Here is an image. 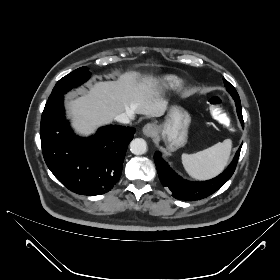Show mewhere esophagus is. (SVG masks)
<instances>
[{
  "label": "esophagus",
  "instance_id": "34e87169",
  "mask_svg": "<svg viewBox=\"0 0 280 280\" xmlns=\"http://www.w3.org/2000/svg\"><path fill=\"white\" fill-rule=\"evenodd\" d=\"M143 133L146 137L152 138L157 135L158 127L153 123H148L143 127Z\"/></svg>",
  "mask_w": 280,
  "mask_h": 280
}]
</instances>
